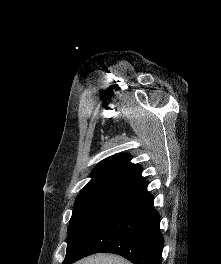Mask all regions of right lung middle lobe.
Returning a JSON list of instances; mask_svg holds the SVG:
<instances>
[{"label": "right lung middle lobe", "instance_id": "dd1d6c3e", "mask_svg": "<svg viewBox=\"0 0 221 264\" xmlns=\"http://www.w3.org/2000/svg\"><path fill=\"white\" fill-rule=\"evenodd\" d=\"M126 189L98 188L80 192L68 228L66 257L77 254Z\"/></svg>", "mask_w": 221, "mask_h": 264}]
</instances>
